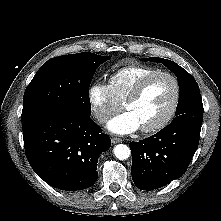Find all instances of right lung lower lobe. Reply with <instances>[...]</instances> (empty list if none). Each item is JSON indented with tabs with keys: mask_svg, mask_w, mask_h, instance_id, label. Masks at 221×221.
<instances>
[{
	"mask_svg": "<svg viewBox=\"0 0 221 221\" xmlns=\"http://www.w3.org/2000/svg\"><path fill=\"white\" fill-rule=\"evenodd\" d=\"M22 126L27 159L47 184L76 191L95 183L99 155L111 140L90 116L53 109Z\"/></svg>",
	"mask_w": 221,
	"mask_h": 221,
	"instance_id": "obj_1",
	"label": "right lung lower lobe"
}]
</instances>
